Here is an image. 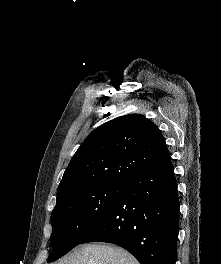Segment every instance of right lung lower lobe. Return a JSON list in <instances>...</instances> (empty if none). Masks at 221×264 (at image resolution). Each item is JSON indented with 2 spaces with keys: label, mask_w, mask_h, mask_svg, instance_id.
Returning a JSON list of instances; mask_svg holds the SVG:
<instances>
[{
  "label": "right lung lower lobe",
  "mask_w": 221,
  "mask_h": 264,
  "mask_svg": "<svg viewBox=\"0 0 221 264\" xmlns=\"http://www.w3.org/2000/svg\"><path fill=\"white\" fill-rule=\"evenodd\" d=\"M178 215L177 181L169 162L129 179L114 207L81 244L112 243L141 264H175Z\"/></svg>",
  "instance_id": "obj_1"
}]
</instances>
